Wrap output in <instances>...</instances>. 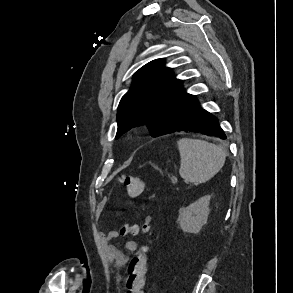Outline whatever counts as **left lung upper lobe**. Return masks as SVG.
I'll use <instances>...</instances> for the list:
<instances>
[{
	"label": "left lung upper lobe",
	"mask_w": 293,
	"mask_h": 293,
	"mask_svg": "<svg viewBox=\"0 0 293 293\" xmlns=\"http://www.w3.org/2000/svg\"><path fill=\"white\" fill-rule=\"evenodd\" d=\"M163 64V59H156L135 73L131 88L119 103L116 138L144 124L154 137L171 133L184 110L196 101Z\"/></svg>",
	"instance_id": "5c2ea615"
}]
</instances>
